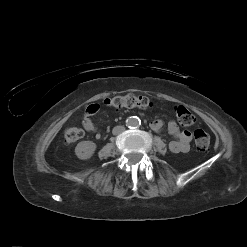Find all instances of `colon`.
I'll use <instances>...</instances> for the list:
<instances>
[{"label":"colon","instance_id":"1","mask_svg":"<svg viewBox=\"0 0 247 247\" xmlns=\"http://www.w3.org/2000/svg\"><path fill=\"white\" fill-rule=\"evenodd\" d=\"M104 104L108 107L121 109V108H138V109H148L151 107V101L144 96H138L132 93L126 95H117L107 98ZM175 114L179 123L183 126H191L195 122V116L184 106H177L175 108ZM83 133L79 128L69 127L64 132V142L67 145H72L77 142ZM194 141L196 147L205 151L210 145L209 134L202 130L196 129L194 131Z\"/></svg>","mask_w":247,"mask_h":247}]
</instances>
